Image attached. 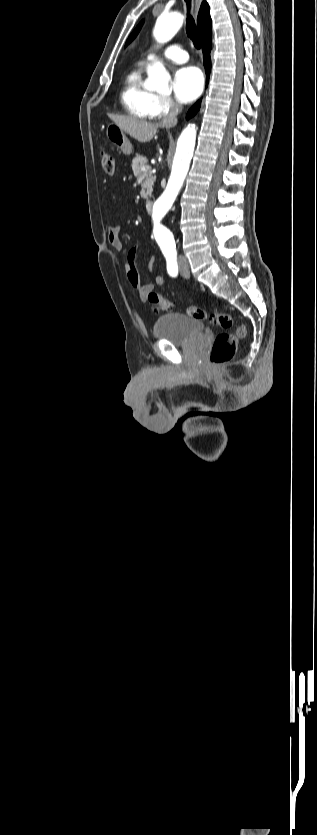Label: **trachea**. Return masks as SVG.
<instances>
[{
  "label": "trachea",
  "mask_w": 317,
  "mask_h": 835,
  "mask_svg": "<svg viewBox=\"0 0 317 835\" xmlns=\"http://www.w3.org/2000/svg\"><path fill=\"white\" fill-rule=\"evenodd\" d=\"M185 2L187 5L186 32L188 37L192 40L195 48L200 49L202 45L201 37L196 31L195 21L190 14L191 0H185Z\"/></svg>",
  "instance_id": "obj_1"
}]
</instances>
